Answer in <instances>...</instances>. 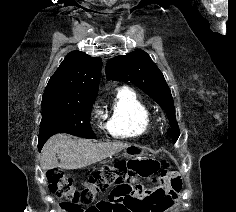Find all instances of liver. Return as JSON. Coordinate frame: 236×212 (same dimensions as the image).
<instances>
[{
	"label": "liver",
	"mask_w": 236,
	"mask_h": 212,
	"mask_svg": "<svg viewBox=\"0 0 236 212\" xmlns=\"http://www.w3.org/2000/svg\"><path fill=\"white\" fill-rule=\"evenodd\" d=\"M128 146L129 144L121 142L93 143L87 139L74 140L69 135L57 134L43 146L41 167L43 170L57 167L63 169L84 168L111 157Z\"/></svg>",
	"instance_id": "1"
}]
</instances>
